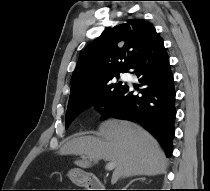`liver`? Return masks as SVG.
Wrapping results in <instances>:
<instances>
[{
	"label": "liver",
	"instance_id": "obj_1",
	"mask_svg": "<svg viewBox=\"0 0 210 191\" xmlns=\"http://www.w3.org/2000/svg\"><path fill=\"white\" fill-rule=\"evenodd\" d=\"M62 155H80L75 164L89 168L99 160L115 162L112 183L136 175L154 176L165 172L167 159L158 142L141 126L123 120H107L98 137L79 136L60 149Z\"/></svg>",
	"mask_w": 210,
	"mask_h": 191
}]
</instances>
